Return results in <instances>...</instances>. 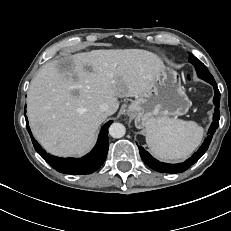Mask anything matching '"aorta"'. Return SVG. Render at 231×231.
<instances>
[{
    "label": "aorta",
    "mask_w": 231,
    "mask_h": 231,
    "mask_svg": "<svg viewBox=\"0 0 231 231\" xmlns=\"http://www.w3.org/2000/svg\"><path fill=\"white\" fill-rule=\"evenodd\" d=\"M126 129L125 126L121 123H113L109 127V134L113 138H121L125 135Z\"/></svg>",
    "instance_id": "1"
}]
</instances>
